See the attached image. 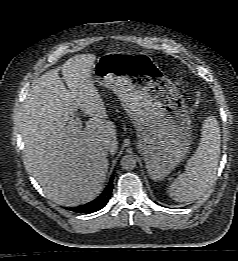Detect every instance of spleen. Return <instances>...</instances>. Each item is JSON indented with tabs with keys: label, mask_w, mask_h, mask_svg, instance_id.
<instances>
[{
	"label": "spleen",
	"mask_w": 238,
	"mask_h": 261,
	"mask_svg": "<svg viewBox=\"0 0 238 261\" xmlns=\"http://www.w3.org/2000/svg\"><path fill=\"white\" fill-rule=\"evenodd\" d=\"M221 134L218 120L207 117L201 128V141L193 156L169 186V196L176 202H189L202 197L212 186L220 158Z\"/></svg>",
	"instance_id": "1"
}]
</instances>
